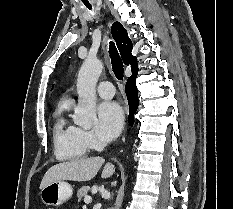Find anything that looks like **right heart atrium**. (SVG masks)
I'll return each instance as SVG.
<instances>
[{
    "label": "right heart atrium",
    "mask_w": 233,
    "mask_h": 209,
    "mask_svg": "<svg viewBox=\"0 0 233 209\" xmlns=\"http://www.w3.org/2000/svg\"><path fill=\"white\" fill-rule=\"evenodd\" d=\"M78 135L81 142L88 149L97 150L103 146V142L96 136L93 131L78 128Z\"/></svg>",
    "instance_id": "d8ad5b80"
}]
</instances>
